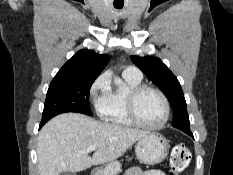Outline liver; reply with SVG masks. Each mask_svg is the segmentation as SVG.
Masks as SVG:
<instances>
[{"instance_id":"1","label":"liver","mask_w":233,"mask_h":175,"mask_svg":"<svg viewBox=\"0 0 233 175\" xmlns=\"http://www.w3.org/2000/svg\"><path fill=\"white\" fill-rule=\"evenodd\" d=\"M148 131L103 123L79 113L60 114L39 132L37 157L40 175L79 172L122 156ZM96 146L92 157L87 148Z\"/></svg>"}]
</instances>
